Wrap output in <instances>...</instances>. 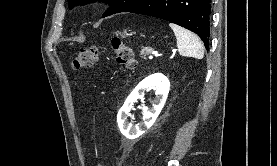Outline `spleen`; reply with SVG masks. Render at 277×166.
Returning <instances> with one entry per match:
<instances>
[{
  "mask_svg": "<svg viewBox=\"0 0 277 166\" xmlns=\"http://www.w3.org/2000/svg\"><path fill=\"white\" fill-rule=\"evenodd\" d=\"M169 26L174 31L177 39L179 54L185 57L202 59L204 56V47L200 39L192 32L184 29L174 23Z\"/></svg>",
  "mask_w": 277,
  "mask_h": 166,
  "instance_id": "spleen-1",
  "label": "spleen"
}]
</instances>
